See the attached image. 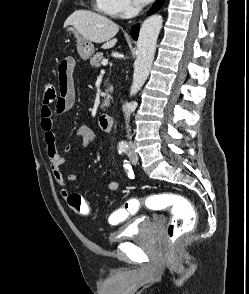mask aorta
<instances>
[{
  "label": "aorta",
  "mask_w": 249,
  "mask_h": 294,
  "mask_svg": "<svg viewBox=\"0 0 249 294\" xmlns=\"http://www.w3.org/2000/svg\"><path fill=\"white\" fill-rule=\"evenodd\" d=\"M162 25V16L153 15L147 18L141 26L137 40V58L134 63L133 81L130 88L131 96L141 89L149 76Z\"/></svg>",
  "instance_id": "obj_1"
}]
</instances>
